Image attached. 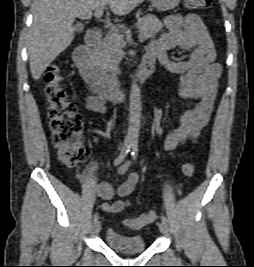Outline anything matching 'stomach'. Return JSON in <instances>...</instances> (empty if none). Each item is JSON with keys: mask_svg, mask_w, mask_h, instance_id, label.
Returning a JSON list of instances; mask_svg holds the SVG:
<instances>
[{"mask_svg": "<svg viewBox=\"0 0 254 267\" xmlns=\"http://www.w3.org/2000/svg\"><path fill=\"white\" fill-rule=\"evenodd\" d=\"M159 11H169L177 7L181 0H150Z\"/></svg>", "mask_w": 254, "mask_h": 267, "instance_id": "obj_1", "label": "stomach"}]
</instances>
